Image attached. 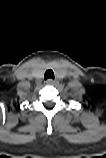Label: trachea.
<instances>
[{
	"label": "trachea",
	"mask_w": 106,
	"mask_h": 158,
	"mask_svg": "<svg viewBox=\"0 0 106 158\" xmlns=\"http://www.w3.org/2000/svg\"><path fill=\"white\" fill-rule=\"evenodd\" d=\"M44 78H45V79H49V78L54 79V72H53L52 70H50V69L47 70V71L45 72Z\"/></svg>",
	"instance_id": "obj_1"
}]
</instances>
